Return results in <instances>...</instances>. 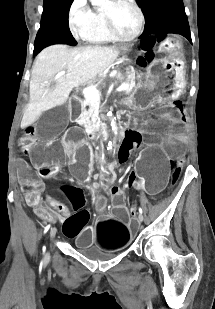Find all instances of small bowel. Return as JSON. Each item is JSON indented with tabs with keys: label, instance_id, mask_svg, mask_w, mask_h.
<instances>
[{
	"label": "small bowel",
	"instance_id": "c3829d8e",
	"mask_svg": "<svg viewBox=\"0 0 215 309\" xmlns=\"http://www.w3.org/2000/svg\"><path fill=\"white\" fill-rule=\"evenodd\" d=\"M135 143H136V141H135L134 135H127L125 137V140L122 143V148L128 149V148L132 147ZM33 184H35V183H33ZM110 192H111V194H112V196H113V198L116 202L119 203V202L122 201L123 196H124V189L123 188L118 187V186H114V187L111 188ZM30 198L32 199L34 204H37V193L36 192L32 193L30 195ZM57 209L64 218H66V219L69 218L70 214H69V212H68V210L65 206L57 205Z\"/></svg>",
	"mask_w": 215,
	"mask_h": 309
}]
</instances>
